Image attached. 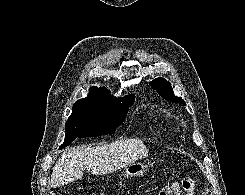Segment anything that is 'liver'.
I'll list each match as a JSON object with an SVG mask.
<instances>
[{
    "instance_id": "liver-1",
    "label": "liver",
    "mask_w": 245,
    "mask_h": 195,
    "mask_svg": "<svg viewBox=\"0 0 245 195\" xmlns=\"http://www.w3.org/2000/svg\"><path fill=\"white\" fill-rule=\"evenodd\" d=\"M147 156L148 149L138 138L121 139L88 148L68 149L53 167L50 184L56 188L79 180L85 169L95 175L109 174Z\"/></svg>"
}]
</instances>
